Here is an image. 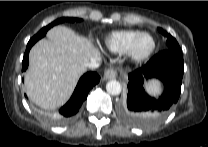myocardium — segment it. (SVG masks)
<instances>
[{
	"label": "myocardium",
	"mask_w": 208,
	"mask_h": 147,
	"mask_svg": "<svg viewBox=\"0 0 208 147\" xmlns=\"http://www.w3.org/2000/svg\"><path fill=\"white\" fill-rule=\"evenodd\" d=\"M145 36H149L152 39V41H153L152 47L145 54H138L136 52V48H137L138 42ZM156 48H157V42H156L155 37L151 33H149V32H141L140 34H138L131 41V43L129 44L127 50L125 51V54L128 57V59L131 60L132 62L141 63V62H144L147 59H149L152 56V54L155 52Z\"/></svg>",
	"instance_id": "1"
}]
</instances>
